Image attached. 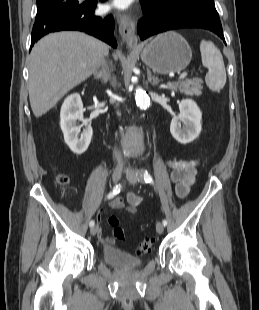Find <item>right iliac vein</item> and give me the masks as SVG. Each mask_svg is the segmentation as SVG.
I'll return each mask as SVG.
<instances>
[{
	"instance_id": "obj_1",
	"label": "right iliac vein",
	"mask_w": 259,
	"mask_h": 310,
	"mask_svg": "<svg viewBox=\"0 0 259 310\" xmlns=\"http://www.w3.org/2000/svg\"><path fill=\"white\" fill-rule=\"evenodd\" d=\"M122 172H123V166L117 165L112 173V180L114 183H117L121 179ZM97 231H98V226L95 225L90 229V234L94 236L96 235Z\"/></svg>"
}]
</instances>
